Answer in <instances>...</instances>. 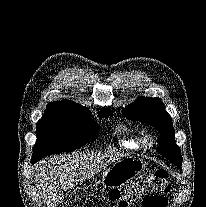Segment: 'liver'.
<instances>
[{
    "instance_id": "1",
    "label": "liver",
    "mask_w": 206,
    "mask_h": 207,
    "mask_svg": "<svg viewBox=\"0 0 206 207\" xmlns=\"http://www.w3.org/2000/svg\"><path fill=\"white\" fill-rule=\"evenodd\" d=\"M124 155L116 153H73L47 158L39 163L35 176L41 200L47 207H56L67 190L89 180L111 162Z\"/></svg>"
}]
</instances>
